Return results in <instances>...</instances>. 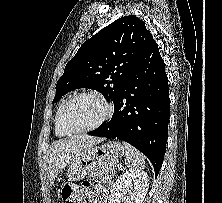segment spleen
I'll use <instances>...</instances> for the list:
<instances>
[{"label": "spleen", "instance_id": "1", "mask_svg": "<svg viewBox=\"0 0 222 203\" xmlns=\"http://www.w3.org/2000/svg\"><path fill=\"white\" fill-rule=\"evenodd\" d=\"M123 145L126 154V166L132 170L143 168L145 166L144 155L126 142H123Z\"/></svg>", "mask_w": 222, "mask_h": 203}]
</instances>
